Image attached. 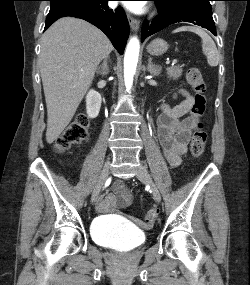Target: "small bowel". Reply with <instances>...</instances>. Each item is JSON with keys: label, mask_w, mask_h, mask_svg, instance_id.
Segmentation results:
<instances>
[{"label": "small bowel", "mask_w": 250, "mask_h": 285, "mask_svg": "<svg viewBox=\"0 0 250 285\" xmlns=\"http://www.w3.org/2000/svg\"><path fill=\"white\" fill-rule=\"evenodd\" d=\"M178 94L182 96V101L175 106L163 104L157 120L158 139L163 154L172 167L179 166L182 156L187 152L191 128L195 123V118L187 115L194 98L184 89L179 90ZM115 192L117 196L107 195L99 203L100 211L117 205L126 206L131 202L130 192L123 183H116Z\"/></svg>", "instance_id": "c3829d8e"}]
</instances>
